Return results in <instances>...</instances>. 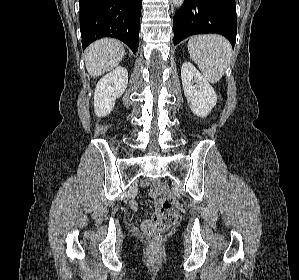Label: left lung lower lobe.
<instances>
[{
  "mask_svg": "<svg viewBox=\"0 0 299 280\" xmlns=\"http://www.w3.org/2000/svg\"><path fill=\"white\" fill-rule=\"evenodd\" d=\"M174 45L188 36L218 33L234 47L236 42L235 0H185L173 18Z\"/></svg>",
  "mask_w": 299,
  "mask_h": 280,
  "instance_id": "1",
  "label": "left lung lower lobe"
}]
</instances>
